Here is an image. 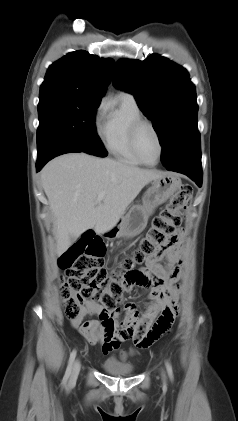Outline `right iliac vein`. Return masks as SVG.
I'll return each instance as SVG.
<instances>
[{"label": "right iliac vein", "instance_id": "1", "mask_svg": "<svg viewBox=\"0 0 238 421\" xmlns=\"http://www.w3.org/2000/svg\"><path fill=\"white\" fill-rule=\"evenodd\" d=\"M80 368H81V363L80 360H76L74 362L73 368H72V372H71V376H70V382H73L77 379L78 374L80 372Z\"/></svg>", "mask_w": 238, "mask_h": 421}]
</instances>
